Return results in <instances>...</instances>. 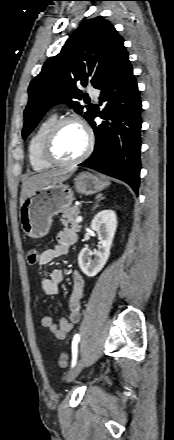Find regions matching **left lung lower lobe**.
I'll use <instances>...</instances> for the list:
<instances>
[{
	"mask_svg": "<svg viewBox=\"0 0 174 440\" xmlns=\"http://www.w3.org/2000/svg\"><path fill=\"white\" fill-rule=\"evenodd\" d=\"M101 90L100 105L88 120L96 135L92 155L79 166L97 170L126 182L137 192L141 160V100L133 68L124 48L104 72L96 87ZM99 113L104 120L97 125Z\"/></svg>",
	"mask_w": 174,
	"mask_h": 440,
	"instance_id": "left-lung-lower-lobe-1",
	"label": "left lung lower lobe"
}]
</instances>
